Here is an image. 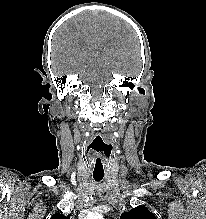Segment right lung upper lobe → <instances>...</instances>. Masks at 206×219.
Masks as SVG:
<instances>
[{
	"label": "right lung upper lobe",
	"instance_id": "cb5924a9",
	"mask_svg": "<svg viewBox=\"0 0 206 219\" xmlns=\"http://www.w3.org/2000/svg\"><path fill=\"white\" fill-rule=\"evenodd\" d=\"M51 219H70V215L64 216L62 214H54L52 215Z\"/></svg>",
	"mask_w": 206,
	"mask_h": 219
}]
</instances>
